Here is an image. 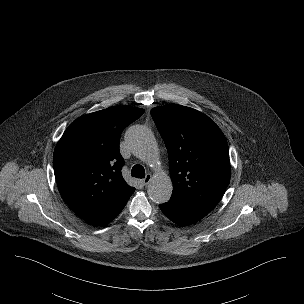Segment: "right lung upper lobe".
I'll use <instances>...</instances> for the list:
<instances>
[{
	"mask_svg": "<svg viewBox=\"0 0 304 304\" xmlns=\"http://www.w3.org/2000/svg\"><path fill=\"white\" fill-rule=\"evenodd\" d=\"M143 113L121 106L81 116L55 147L53 166L60 194L90 224L103 221L135 190L121 174L119 140L124 128Z\"/></svg>",
	"mask_w": 304,
	"mask_h": 304,
	"instance_id": "right-lung-upper-lobe-1",
	"label": "right lung upper lobe"
}]
</instances>
